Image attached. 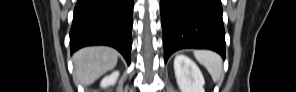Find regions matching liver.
<instances>
[{
	"label": "liver",
	"instance_id": "1",
	"mask_svg": "<svg viewBox=\"0 0 296 92\" xmlns=\"http://www.w3.org/2000/svg\"><path fill=\"white\" fill-rule=\"evenodd\" d=\"M118 51L106 46L84 47L73 55L75 82L91 85L99 77L112 70L118 61Z\"/></svg>",
	"mask_w": 296,
	"mask_h": 92
}]
</instances>
